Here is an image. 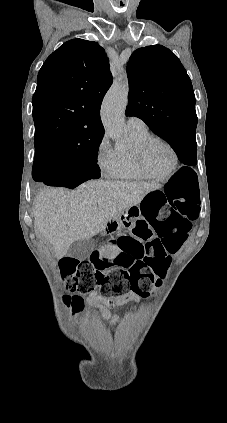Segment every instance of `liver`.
I'll list each match as a JSON object with an SVG mask.
<instances>
[{
	"label": "liver",
	"instance_id": "liver-1",
	"mask_svg": "<svg viewBox=\"0 0 227 423\" xmlns=\"http://www.w3.org/2000/svg\"><path fill=\"white\" fill-rule=\"evenodd\" d=\"M158 182H104L92 180L68 192L64 188H45L36 198L35 233L53 245L56 257L66 255L77 239H90L101 233L121 211L141 204ZM99 200H103L98 204Z\"/></svg>",
	"mask_w": 227,
	"mask_h": 423
}]
</instances>
